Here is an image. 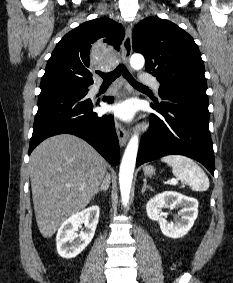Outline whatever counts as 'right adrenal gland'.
I'll list each match as a JSON object with an SVG mask.
<instances>
[{
    "instance_id": "right-adrenal-gland-1",
    "label": "right adrenal gland",
    "mask_w": 233,
    "mask_h": 283,
    "mask_svg": "<svg viewBox=\"0 0 233 283\" xmlns=\"http://www.w3.org/2000/svg\"><path fill=\"white\" fill-rule=\"evenodd\" d=\"M110 185V176L106 175L103 183L101 184L100 188L97 189V191L95 192V194H97L98 192L104 191L106 192L109 188Z\"/></svg>"
}]
</instances>
